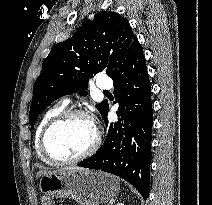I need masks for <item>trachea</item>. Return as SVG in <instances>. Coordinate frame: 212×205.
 Here are the masks:
<instances>
[{
  "label": "trachea",
  "instance_id": "obj_1",
  "mask_svg": "<svg viewBox=\"0 0 212 205\" xmlns=\"http://www.w3.org/2000/svg\"><path fill=\"white\" fill-rule=\"evenodd\" d=\"M104 93H109L108 91H104Z\"/></svg>",
  "mask_w": 212,
  "mask_h": 205
}]
</instances>
